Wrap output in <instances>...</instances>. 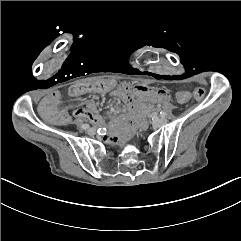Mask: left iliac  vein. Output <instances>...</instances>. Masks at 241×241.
I'll list each match as a JSON object with an SVG mask.
<instances>
[{
  "label": "left iliac vein",
  "mask_w": 241,
  "mask_h": 241,
  "mask_svg": "<svg viewBox=\"0 0 241 241\" xmlns=\"http://www.w3.org/2000/svg\"><path fill=\"white\" fill-rule=\"evenodd\" d=\"M167 123V119L166 118H155L153 120V125L157 126V127H160L164 124Z\"/></svg>",
  "instance_id": "1"
}]
</instances>
